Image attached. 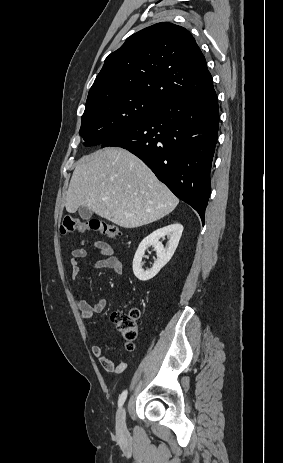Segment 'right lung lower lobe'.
Returning <instances> with one entry per match:
<instances>
[{
	"mask_svg": "<svg viewBox=\"0 0 283 463\" xmlns=\"http://www.w3.org/2000/svg\"><path fill=\"white\" fill-rule=\"evenodd\" d=\"M218 126V101L211 87L161 102L148 118L101 147H122L135 154L204 221Z\"/></svg>",
	"mask_w": 283,
	"mask_h": 463,
	"instance_id": "98d812e1",
	"label": "right lung lower lobe"
}]
</instances>
